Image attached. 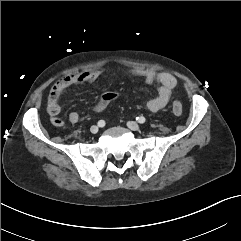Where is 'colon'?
<instances>
[{
  "label": "colon",
  "mask_w": 241,
  "mask_h": 241,
  "mask_svg": "<svg viewBox=\"0 0 241 241\" xmlns=\"http://www.w3.org/2000/svg\"><path fill=\"white\" fill-rule=\"evenodd\" d=\"M101 99L104 102L111 101V100L114 101V102H117V101H119L120 96L117 93H112V92L107 93V92H104L101 95ZM172 112L175 115L182 114V112H183V105H182V103L180 101H174L173 102V104H172Z\"/></svg>",
  "instance_id": "obj_1"
}]
</instances>
